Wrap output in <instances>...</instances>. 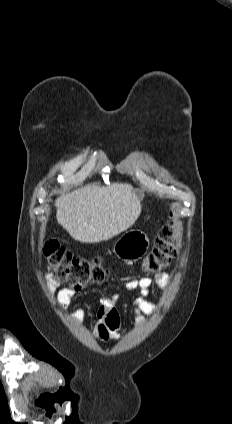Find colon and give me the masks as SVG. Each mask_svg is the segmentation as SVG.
Listing matches in <instances>:
<instances>
[{"mask_svg":"<svg viewBox=\"0 0 232 424\" xmlns=\"http://www.w3.org/2000/svg\"><path fill=\"white\" fill-rule=\"evenodd\" d=\"M176 252L174 220L171 217L155 236L152 249L143 259V270H162L175 258ZM45 257L49 276L55 284L79 288L90 283L104 282L109 276V270L99 257L77 256L53 240L46 243Z\"/></svg>","mask_w":232,"mask_h":424,"instance_id":"1","label":"colon"}]
</instances>
